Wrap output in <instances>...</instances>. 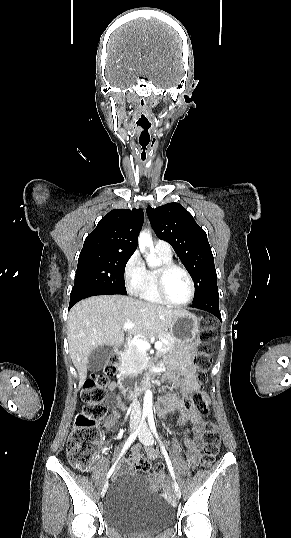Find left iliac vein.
<instances>
[{
	"label": "left iliac vein",
	"instance_id": "4c4485c4",
	"mask_svg": "<svg viewBox=\"0 0 291 538\" xmlns=\"http://www.w3.org/2000/svg\"><path fill=\"white\" fill-rule=\"evenodd\" d=\"M139 439L141 440V442L146 446V447H150L153 445L154 443V440H153V436L147 426V424L144 422L142 424V427H141V430H140V433H139ZM174 487H175V494L177 496V498H180L181 497V490L178 486L177 483L174 484Z\"/></svg>",
	"mask_w": 291,
	"mask_h": 538
}]
</instances>
